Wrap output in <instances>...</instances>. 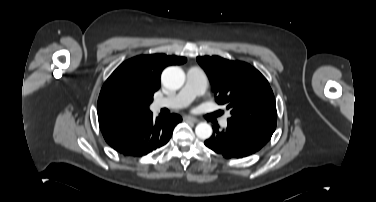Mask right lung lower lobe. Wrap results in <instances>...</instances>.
<instances>
[{
	"label": "right lung lower lobe",
	"instance_id": "1",
	"mask_svg": "<svg viewBox=\"0 0 376 202\" xmlns=\"http://www.w3.org/2000/svg\"><path fill=\"white\" fill-rule=\"evenodd\" d=\"M181 120L177 114L153 120L152 113L148 112L101 131L105 141L119 153L141 157L165 145Z\"/></svg>",
	"mask_w": 376,
	"mask_h": 202
}]
</instances>
